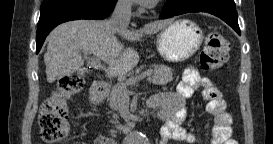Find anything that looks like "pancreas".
I'll return each instance as SVG.
<instances>
[{"mask_svg":"<svg viewBox=\"0 0 273 144\" xmlns=\"http://www.w3.org/2000/svg\"><path fill=\"white\" fill-rule=\"evenodd\" d=\"M153 72V76L149 77L148 81L156 85H166L173 80L172 69L166 65H154L150 68ZM137 77H130L126 81H120L111 88L110 95L108 97L109 106L112 109H119L123 99L128 96V86L135 83ZM115 120H111V123H118L117 115L113 116Z\"/></svg>","mask_w":273,"mask_h":144,"instance_id":"cf45deb5","label":"pancreas"}]
</instances>
